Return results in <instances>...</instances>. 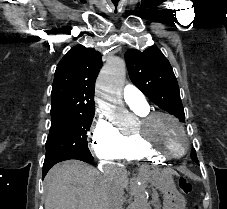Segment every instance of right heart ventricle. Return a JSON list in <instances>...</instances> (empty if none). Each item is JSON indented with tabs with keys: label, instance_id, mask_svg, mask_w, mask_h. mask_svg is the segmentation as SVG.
<instances>
[{
	"label": "right heart ventricle",
	"instance_id": "obj_1",
	"mask_svg": "<svg viewBox=\"0 0 227 209\" xmlns=\"http://www.w3.org/2000/svg\"><path fill=\"white\" fill-rule=\"evenodd\" d=\"M135 111L142 117L148 112V108L135 109ZM118 159L128 163H159L163 161V159L149 154L138 142L134 133L124 134V146Z\"/></svg>",
	"mask_w": 227,
	"mask_h": 209
}]
</instances>
